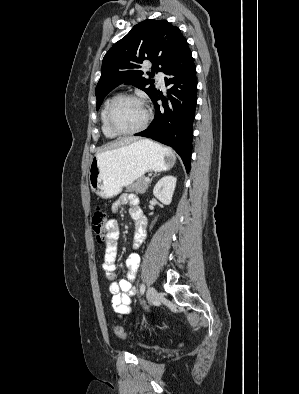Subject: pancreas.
<instances>
[{"label": "pancreas", "instance_id": "cf45deb5", "mask_svg": "<svg viewBox=\"0 0 299 394\" xmlns=\"http://www.w3.org/2000/svg\"><path fill=\"white\" fill-rule=\"evenodd\" d=\"M149 182L145 181V178L142 177L138 179L135 183L128 186L129 191H134L139 194H144L148 188Z\"/></svg>", "mask_w": 299, "mask_h": 394}]
</instances>
